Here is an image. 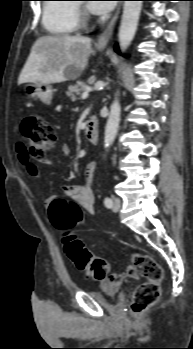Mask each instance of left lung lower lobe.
<instances>
[{
  "label": "left lung lower lobe",
  "mask_w": 193,
  "mask_h": 349,
  "mask_svg": "<svg viewBox=\"0 0 193 349\" xmlns=\"http://www.w3.org/2000/svg\"><path fill=\"white\" fill-rule=\"evenodd\" d=\"M115 51L119 53V49L117 45L115 46Z\"/></svg>",
  "instance_id": "0a47b994"
}]
</instances>
